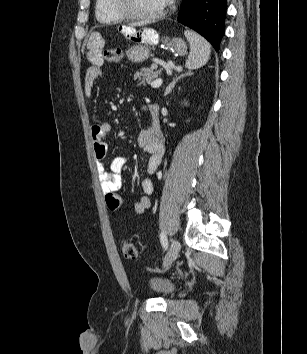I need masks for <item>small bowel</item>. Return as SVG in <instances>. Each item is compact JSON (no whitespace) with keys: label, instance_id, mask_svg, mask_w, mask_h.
Segmentation results:
<instances>
[{"label":"small bowel","instance_id":"small-bowel-1","mask_svg":"<svg viewBox=\"0 0 307 354\" xmlns=\"http://www.w3.org/2000/svg\"><path fill=\"white\" fill-rule=\"evenodd\" d=\"M138 29H125L123 38H137ZM86 58L89 63L84 75V92L86 96L92 95L94 83L103 76L104 64L103 48L104 41L101 38H92L88 42ZM144 111L151 118V124L143 129L138 135V145L147 156V170L153 174L158 168L165 152L162 131L158 124V111L154 105H144ZM111 132V124L102 122L91 127V137L94 143V152L97 160L98 174L101 188L105 195L108 208L112 211L119 210L123 205L122 197L117 191L122 186V171L126 165L123 156L114 157L109 169L104 166L108 153L107 137ZM143 196L131 207V212L143 214L151 206L150 196L154 192V184L151 179L143 178L140 181Z\"/></svg>","mask_w":307,"mask_h":354}]
</instances>
